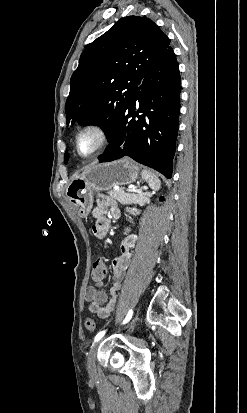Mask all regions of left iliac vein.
<instances>
[{"mask_svg": "<svg viewBox=\"0 0 247 413\" xmlns=\"http://www.w3.org/2000/svg\"><path fill=\"white\" fill-rule=\"evenodd\" d=\"M137 320H138V316H135L129 322V324L127 325V329H130V328L134 327ZM99 344H100V342H96L95 344H93L90 351H89V354L87 356L86 366H87V369H88V371L90 372L91 375L96 374V364H95V362H96V354H97V351H98V348H99Z\"/></svg>", "mask_w": 247, "mask_h": 413, "instance_id": "1", "label": "left iliac vein"}]
</instances>
